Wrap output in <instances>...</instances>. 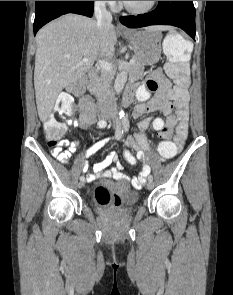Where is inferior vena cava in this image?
<instances>
[{"mask_svg":"<svg viewBox=\"0 0 233 295\" xmlns=\"http://www.w3.org/2000/svg\"><path fill=\"white\" fill-rule=\"evenodd\" d=\"M94 14L97 20V27L102 33L101 47L107 57L114 55V46L108 41V32L111 27L112 15L106 9V1H95ZM106 106L112 116H116L117 105L115 102L114 90L111 88L107 93Z\"/></svg>","mask_w":233,"mask_h":295,"instance_id":"inferior-vena-cava-1","label":"inferior vena cava"}]
</instances>
